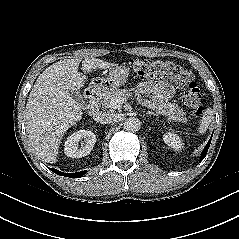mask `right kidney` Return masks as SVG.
<instances>
[{
    "label": "right kidney",
    "mask_w": 239,
    "mask_h": 239,
    "mask_svg": "<svg viewBox=\"0 0 239 239\" xmlns=\"http://www.w3.org/2000/svg\"><path fill=\"white\" fill-rule=\"evenodd\" d=\"M84 140L82 147L78 143ZM96 143V135L89 130H80L71 134L65 141L64 153L71 158H82L88 155Z\"/></svg>",
    "instance_id": "obj_1"
}]
</instances>
